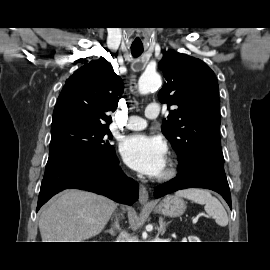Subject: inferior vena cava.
<instances>
[{
  "instance_id": "inferior-vena-cava-1",
  "label": "inferior vena cava",
  "mask_w": 270,
  "mask_h": 270,
  "mask_svg": "<svg viewBox=\"0 0 270 270\" xmlns=\"http://www.w3.org/2000/svg\"><path fill=\"white\" fill-rule=\"evenodd\" d=\"M129 235L126 231H122L118 238H117V241L116 242H129Z\"/></svg>"
}]
</instances>
